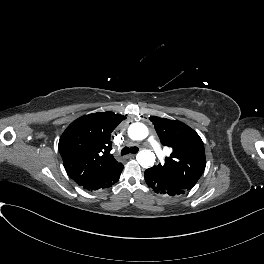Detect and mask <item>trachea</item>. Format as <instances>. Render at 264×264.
Listing matches in <instances>:
<instances>
[{
  "mask_svg": "<svg viewBox=\"0 0 264 264\" xmlns=\"http://www.w3.org/2000/svg\"><path fill=\"white\" fill-rule=\"evenodd\" d=\"M137 152V149L134 148V147H131V148H128V147H125L123 150H122V154L125 155V154H129V153H136Z\"/></svg>",
  "mask_w": 264,
  "mask_h": 264,
  "instance_id": "trachea-1",
  "label": "trachea"
}]
</instances>
